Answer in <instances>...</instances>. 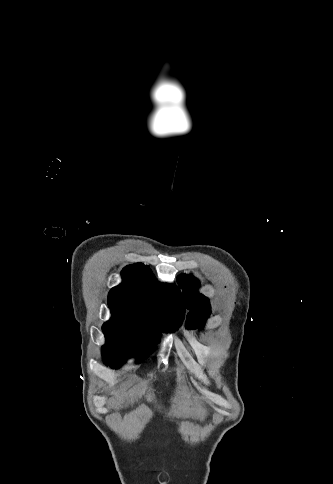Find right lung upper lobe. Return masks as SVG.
Instances as JSON below:
<instances>
[{
	"instance_id": "cb5924a9",
	"label": "right lung upper lobe",
	"mask_w": 333,
	"mask_h": 484,
	"mask_svg": "<svg viewBox=\"0 0 333 484\" xmlns=\"http://www.w3.org/2000/svg\"><path fill=\"white\" fill-rule=\"evenodd\" d=\"M121 275L122 283L108 295L110 322L134 324L156 336L181 325L185 307L176 285L157 282L141 263L125 267Z\"/></svg>"
}]
</instances>
